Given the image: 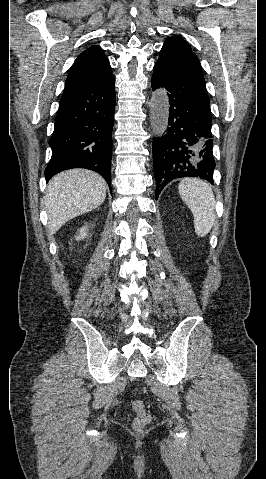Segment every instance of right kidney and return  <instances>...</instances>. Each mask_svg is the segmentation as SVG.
<instances>
[{"label": "right kidney", "instance_id": "right-kidney-1", "mask_svg": "<svg viewBox=\"0 0 266 479\" xmlns=\"http://www.w3.org/2000/svg\"><path fill=\"white\" fill-rule=\"evenodd\" d=\"M86 236H87L86 227H82V228L79 230V235L76 236V240L84 239Z\"/></svg>", "mask_w": 266, "mask_h": 479}]
</instances>
